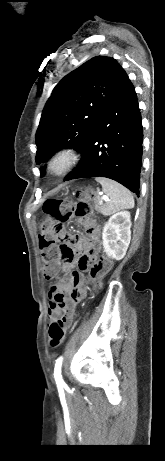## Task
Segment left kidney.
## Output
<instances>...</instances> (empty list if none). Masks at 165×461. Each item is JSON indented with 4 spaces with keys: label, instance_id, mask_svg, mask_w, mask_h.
I'll return each instance as SVG.
<instances>
[{
    "label": "left kidney",
    "instance_id": "obj_1",
    "mask_svg": "<svg viewBox=\"0 0 165 461\" xmlns=\"http://www.w3.org/2000/svg\"><path fill=\"white\" fill-rule=\"evenodd\" d=\"M129 211L112 215L104 225L102 239L106 254L116 260L122 259L131 240V220Z\"/></svg>",
    "mask_w": 165,
    "mask_h": 461
}]
</instances>
